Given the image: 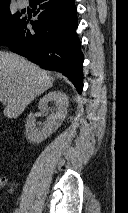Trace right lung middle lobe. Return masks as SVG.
Segmentation results:
<instances>
[{"instance_id": "1", "label": "right lung middle lobe", "mask_w": 128, "mask_h": 213, "mask_svg": "<svg viewBox=\"0 0 128 213\" xmlns=\"http://www.w3.org/2000/svg\"><path fill=\"white\" fill-rule=\"evenodd\" d=\"M21 15L11 14L8 4L0 6V43L3 42L22 21Z\"/></svg>"}]
</instances>
